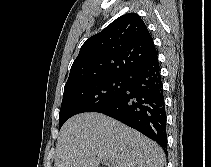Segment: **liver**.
I'll use <instances>...</instances> for the list:
<instances>
[{"label":"liver","mask_w":211,"mask_h":167,"mask_svg":"<svg viewBox=\"0 0 211 167\" xmlns=\"http://www.w3.org/2000/svg\"><path fill=\"white\" fill-rule=\"evenodd\" d=\"M163 167L162 148L138 131L100 113H82L62 127L54 167Z\"/></svg>","instance_id":"1"}]
</instances>
